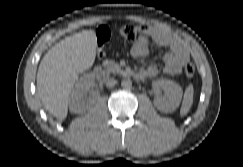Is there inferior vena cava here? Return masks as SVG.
Instances as JSON below:
<instances>
[{"label":"inferior vena cava","mask_w":243,"mask_h":167,"mask_svg":"<svg viewBox=\"0 0 243 167\" xmlns=\"http://www.w3.org/2000/svg\"><path fill=\"white\" fill-rule=\"evenodd\" d=\"M117 83V80L114 78H110L106 81V86L107 87H113Z\"/></svg>","instance_id":"obj_1"}]
</instances>
